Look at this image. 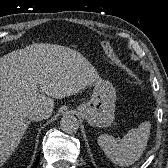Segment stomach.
<instances>
[{
    "mask_svg": "<svg viewBox=\"0 0 168 168\" xmlns=\"http://www.w3.org/2000/svg\"><path fill=\"white\" fill-rule=\"evenodd\" d=\"M116 89L109 81L94 85L91 99L77 107L80 115L94 127H108L115 117Z\"/></svg>",
    "mask_w": 168,
    "mask_h": 168,
    "instance_id": "stomach-1",
    "label": "stomach"
}]
</instances>
